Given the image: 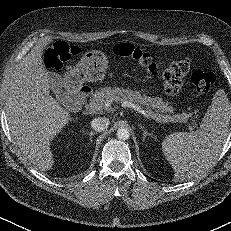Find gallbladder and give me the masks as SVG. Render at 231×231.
<instances>
[{
  "mask_svg": "<svg viewBox=\"0 0 231 231\" xmlns=\"http://www.w3.org/2000/svg\"><path fill=\"white\" fill-rule=\"evenodd\" d=\"M50 81H51V88L53 89V91L55 92H59L62 88V82H61V77L59 74L57 73H49L48 74Z\"/></svg>",
  "mask_w": 231,
  "mask_h": 231,
  "instance_id": "obj_1",
  "label": "gallbladder"
}]
</instances>
